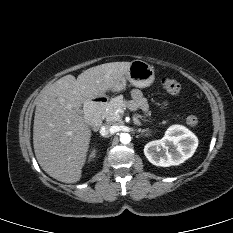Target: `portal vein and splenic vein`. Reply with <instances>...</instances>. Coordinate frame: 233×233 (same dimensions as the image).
<instances>
[{
    "instance_id": "portal-vein-and-splenic-vein-1",
    "label": "portal vein and splenic vein",
    "mask_w": 233,
    "mask_h": 233,
    "mask_svg": "<svg viewBox=\"0 0 233 233\" xmlns=\"http://www.w3.org/2000/svg\"><path fill=\"white\" fill-rule=\"evenodd\" d=\"M118 112H122L121 110H117V112L116 113H118Z\"/></svg>"
}]
</instances>
